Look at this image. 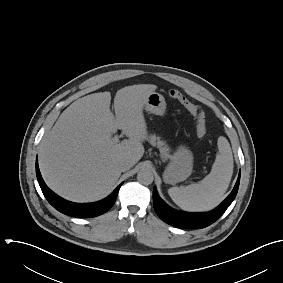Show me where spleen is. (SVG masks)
I'll use <instances>...</instances> for the list:
<instances>
[{
	"label": "spleen",
	"instance_id": "spleen-1",
	"mask_svg": "<svg viewBox=\"0 0 283 283\" xmlns=\"http://www.w3.org/2000/svg\"><path fill=\"white\" fill-rule=\"evenodd\" d=\"M218 154L211 172L200 182L169 188L168 194L176 205L187 211H208L224 198L233 174V155L228 140L218 138Z\"/></svg>",
	"mask_w": 283,
	"mask_h": 283
}]
</instances>
